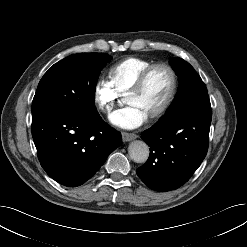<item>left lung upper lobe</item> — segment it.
<instances>
[{
	"label": "left lung upper lobe",
	"instance_id": "left-lung-upper-lobe-1",
	"mask_svg": "<svg viewBox=\"0 0 247 247\" xmlns=\"http://www.w3.org/2000/svg\"><path fill=\"white\" fill-rule=\"evenodd\" d=\"M170 64L179 77V92L167 113L175 112L185 106L190 100L201 93H207V88L193 67L182 58L170 59Z\"/></svg>",
	"mask_w": 247,
	"mask_h": 247
}]
</instances>
